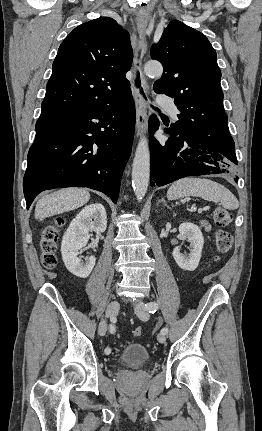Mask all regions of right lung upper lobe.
Wrapping results in <instances>:
<instances>
[{
	"label": "right lung upper lobe",
	"mask_w": 262,
	"mask_h": 431,
	"mask_svg": "<svg viewBox=\"0 0 262 431\" xmlns=\"http://www.w3.org/2000/svg\"><path fill=\"white\" fill-rule=\"evenodd\" d=\"M133 51L127 31L109 17L76 27L62 42L46 86L42 113L98 110L130 93L125 75Z\"/></svg>",
	"instance_id": "obj_1"
}]
</instances>
